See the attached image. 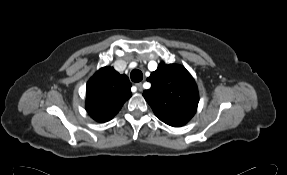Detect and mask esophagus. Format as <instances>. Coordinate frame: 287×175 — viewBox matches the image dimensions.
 I'll return each instance as SVG.
<instances>
[{
	"label": "esophagus",
	"instance_id": "esophagus-1",
	"mask_svg": "<svg viewBox=\"0 0 287 175\" xmlns=\"http://www.w3.org/2000/svg\"><path fill=\"white\" fill-rule=\"evenodd\" d=\"M135 85H136V87H137V89H138L139 91H142V90H143V87H142V83H141V82H140V83H136Z\"/></svg>",
	"mask_w": 287,
	"mask_h": 175
}]
</instances>
